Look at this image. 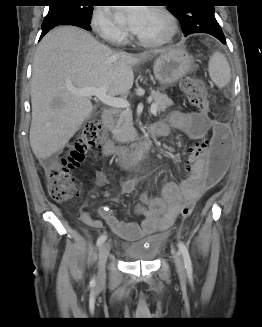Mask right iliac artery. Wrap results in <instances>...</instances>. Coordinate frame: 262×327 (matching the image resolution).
I'll return each mask as SVG.
<instances>
[{
	"label": "right iliac artery",
	"instance_id": "obj_1",
	"mask_svg": "<svg viewBox=\"0 0 262 327\" xmlns=\"http://www.w3.org/2000/svg\"><path fill=\"white\" fill-rule=\"evenodd\" d=\"M107 239V236L105 234L101 235L98 239H97V246L100 247ZM91 286L95 285V278L93 277L91 282H90Z\"/></svg>",
	"mask_w": 262,
	"mask_h": 327
}]
</instances>
